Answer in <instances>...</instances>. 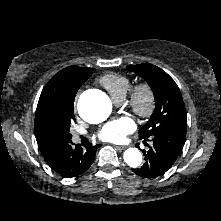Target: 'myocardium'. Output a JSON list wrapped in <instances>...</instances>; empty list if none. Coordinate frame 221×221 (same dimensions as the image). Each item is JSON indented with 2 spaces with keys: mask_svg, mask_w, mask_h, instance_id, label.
I'll use <instances>...</instances> for the list:
<instances>
[{
  "mask_svg": "<svg viewBox=\"0 0 221 221\" xmlns=\"http://www.w3.org/2000/svg\"><path fill=\"white\" fill-rule=\"evenodd\" d=\"M128 107L139 117H150L156 108L154 89L147 82H141L130 89Z\"/></svg>",
  "mask_w": 221,
  "mask_h": 221,
  "instance_id": "1",
  "label": "myocardium"
}]
</instances>
